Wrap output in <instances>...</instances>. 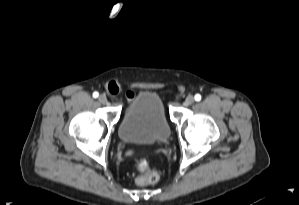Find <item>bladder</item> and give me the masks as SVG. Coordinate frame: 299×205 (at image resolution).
<instances>
[{
  "instance_id": "1",
  "label": "bladder",
  "mask_w": 299,
  "mask_h": 205,
  "mask_svg": "<svg viewBox=\"0 0 299 205\" xmlns=\"http://www.w3.org/2000/svg\"><path fill=\"white\" fill-rule=\"evenodd\" d=\"M118 135L127 143L167 142L171 136V128L161 98L154 92L136 95L124 111Z\"/></svg>"
}]
</instances>
